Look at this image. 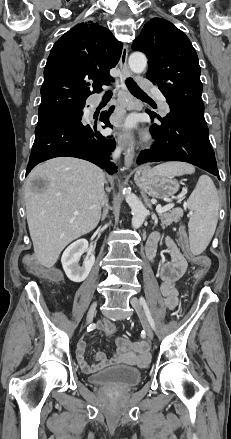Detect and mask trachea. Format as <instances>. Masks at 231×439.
I'll use <instances>...</instances> for the list:
<instances>
[{
	"label": "trachea",
	"instance_id": "obj_1",
	"mask_svg": "<svg viewBox=\"0 0 231 439\" xmlns=\"http://www.w3.org/2000/svg\"><path fill=\"white\" fill-rule=\"evenodd\" d=\"M126 85L129 89V91L137 98L139 99H150L149 96L139 88V86L136 84V82L132 78L126 79ZM112 95V91H106L104 94V97H110Z\"/></svg>",
	"mask_w": 231,
	"mask_h": 439
}]
</instances>
